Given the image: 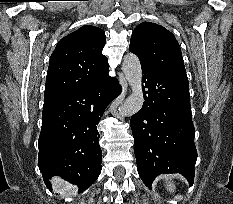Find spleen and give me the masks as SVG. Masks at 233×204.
<instances>
[{
	"instance_id": "obj_1",
	"label": "spleen",
	"mask_w": 233,
	"mask_h": 204,
	"mask_svg": "<svg viewBox=\"0 0 233 204\" xmlns=\"http://www.w3.org/2000/svg\"><path fill=\"white\" fill-rule=\"evenodd\" d=\"M166 189L170 192L173 193L175 191V186L172 183L166 184Z\"/></svg>"
}]
</instances>
